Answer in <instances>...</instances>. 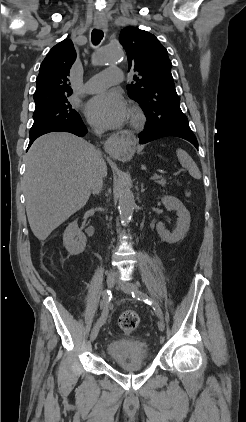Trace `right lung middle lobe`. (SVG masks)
Returning <instances> with one entry per match:
<instances>
[{"instance_id": "dd1d6c3e", "label": "right lung middle lobe", "mask_w": 246, "mask_h": 422, "mask_svg": "<svg viewBox=\"0 0 246 422\" xmlns=\"http://www.w3.org/2000/svg\"><path fill=\"white\" fill-rule=\"evenodd\" d=\"M34 123L29 135L44 131L59 125H73L81 120L80 115L72 109L67 97L60 98L40 108L33 113Z\"/></svg>"}]
</instances>
